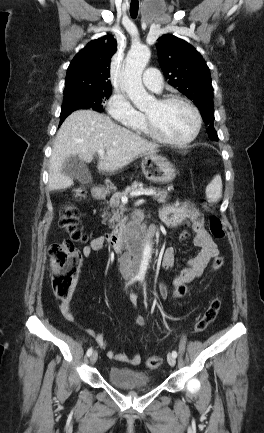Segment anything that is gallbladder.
Instances as JSON below:
<instances>
[{
	"mask_svg": "<svg viewBox=\"0 0 264 433\" xmlns=\"http://www.w3.org/2000/svg\"><path fill=\"white\" fill-rule=\"evenodd\" d=\"M62 173L71 179L78 180L82 184H89L92 181L88 168L77 155L70 156L64 161Z\"/></svg>",
	"mask_w": 264,
	"mask_h": 433,
	"instance_id": "1",
	"label": "gallbladder"
}]
</instances>
